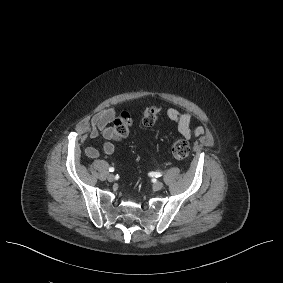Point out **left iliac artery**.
Listing matches in <instances>:
<instances>
[{
	"instance_id": "obj_1",
	"label": "left iliac artery",
	"mask_w": 283,
	"mask_h": 283,
	"mask_svg": "<svg viewBox=\"0 0 283 283\" xmlns=\"http://www.w3.org/2000/svg\"><path fill=\"white\" fill-rule=\"evenodd\" d=\"M151 174L154 176V177H161L163 175L162 172H151Z\"/></svg>"
}]
</instances>
